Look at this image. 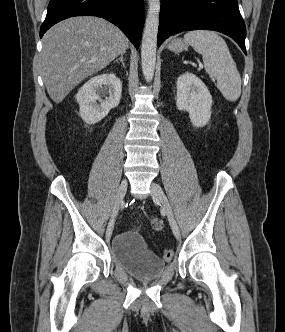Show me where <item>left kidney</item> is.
<instances>
[{
  "mask_svg": "<svg viewBox=\"0 0 285 332\" xmlns=\"http://www.w3.org/2000/svg\"><path fill=\"white\" fill-rule=\"evenodd\" d=\"M176 85L178 110L189 112L194 127L205 126L210 120L213 102L206 85L190 72L181 74Z\"/></svg>",
  "mask_w": 285,
  "mask_h": 332,
  "instance_id": "1",
  "label": "left kidney"
}]
</instances>
